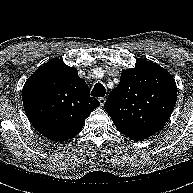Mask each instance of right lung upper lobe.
<instances>
[{"mask_svg":"<svg viewBox=\"0 0 193 193\" xmlns=\"http://www.w3.org/2000/svg\"><path fill=\"white\" fill-rule=\"evenodd\" d=\"M22 100L34 128L54 141L77 135L85 119L100 103L90 97L88 85L74 67L55 58L39 67L26 81Z\"/></svg>","mask_w":193,"mask_h":193,"instance_id":"cb5924a9","label":"right lung upper lobe"}]
</instances>
